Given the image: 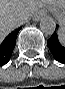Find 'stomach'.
I'll list each match as a JSON object with an SVG mask.
<instances>
[{"mask_svg":"<svg viewBox=\"0 0 65 89\" xmlns=\"http://www.w3.org/2000/svg\"><path fill=\"white\" fill-rule=\"evenodd\" d=\"M47 9L60 21L63 22L62 27L64 28L65 22V4L63 6H48Z\"/></svg>","mask_w":65,"mask_h":89,"instance_id":"0dacf381","label":"stomach"}]
</instances>
